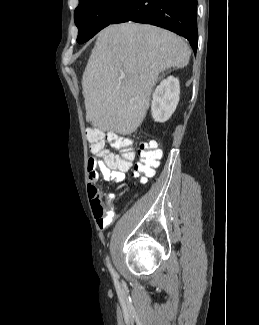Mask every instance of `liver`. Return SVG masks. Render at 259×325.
Here are the masks:
<instances>
[{
    "label": "liver",
    "mask_w": 259,
    "mask_h": 325,
    "mask_svg": "<svg viewBox=\"0 0 259 325\" xmlns=\"http://www.w3.org/2000/svg\"><path fill=\"white\" fill-rule=\"evenodd\" d=\"M190 55L187 43L165 29L133 22L106 27L83 73L86 120L104 132L131 135L146 116L159 74L186 67Z\"/></svg>",
    "instance_id": "1"
}]
</instances>
